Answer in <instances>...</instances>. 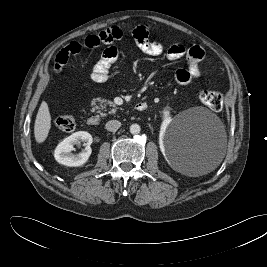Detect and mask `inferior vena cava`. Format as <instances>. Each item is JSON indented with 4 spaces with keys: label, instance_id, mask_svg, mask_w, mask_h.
<instances>
[{
    "label": "inferior vena cava",
    "instance_id": "1",
    "mask_svg": "<svg viewBox=\"0 0 267 267\" xmlns=\"http://www.w3.org/2000/svg\"><path fill=\"white\" fill-rule=\"evenodd\" d=\"M105 127L108 131L115 132L121 127V122L118 120H110L106 123Z\"/></svg>",
    "mask_w": 267,
    "mask_h": 267
}]
</instances>
